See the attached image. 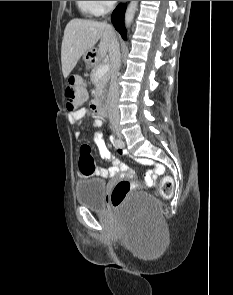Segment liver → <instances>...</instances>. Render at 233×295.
I'll list each match as a JSON object with an SVG mask.
<instances>
[{
  "label": "liver",
  "mask_w": 233,
  "mask_h": 295,
  "mask_svg": "<svg viewBox=\"0 0 233 295\" xmlns=\"http://www.w3.org/2000/svg\"><path fill=\"white\" fill-rule=\"evenodd\" d=\"M113 36H115L114 30L105 22L84 19L71 20L64 30L61 47L64 78L69 76L81 56L92 50L98 40L100 43L97 59H104L109 51Z\"/></svg>",
  "instance_id": "obj_1"
}]
</instances>
